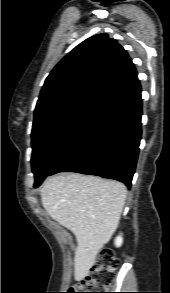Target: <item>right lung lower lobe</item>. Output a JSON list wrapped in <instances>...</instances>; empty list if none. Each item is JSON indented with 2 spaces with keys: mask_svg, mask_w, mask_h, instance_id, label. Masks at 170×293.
<instances>
[{
  "mask_svg": "<svg viewBox=\"0 0 170 293\" xmlns=\"http://www.w3.org/2000/svg\"><path fill=\"white\" fill-rule=\"evenodd\" d=\"M141 116L139 88L108 105L49 175L77 172L115 179L130 187L139 153Z\"/></svg>",
  "mask_w": 170,
  "mask_h": 293,
  "instance_id": "obj_1",
  "label": "right lung lower lobe"
}]
</instances>
